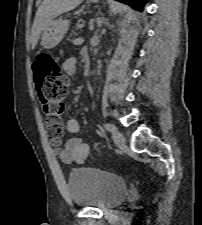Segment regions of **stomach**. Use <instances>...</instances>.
I'll return each mask as SVG.
<instances>
[{"mask_svg": "<svg viewBox=\"0 0 202 225\" xmlns=\"http://www.w3.org/2000/svg\"><path fill=\"white\" fill-rule=\"evenodd\" d=\"M90 1L93 3L98 2V0ZM69 24L70 22L67 19L59 18L52 20L41 34V46L44 49H51L57 46L67 33Z\"/></svg>", "mask_w": 202, "mask_h": 225, "instance_id": "0dacf381", "label": "stomach"}]
</instances>
